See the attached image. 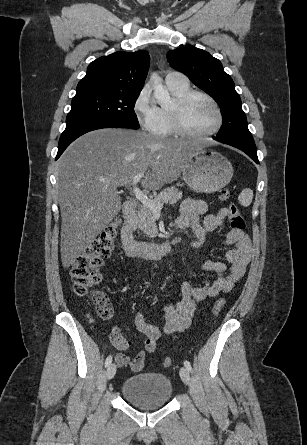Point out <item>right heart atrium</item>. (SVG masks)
I'll return each mask as SVG.
<instances>
[{
  "label": "right heart atrium",
  "instance_id": "right-heart-atrium-1",
  "mask_svg": "<svg viewBox=\"0 0 307 445\" xmlns=\"http://www.w3.org/2000/svg\"><path fill=\"white\" fill-rule=\"evenodd\" d=\"M132 112L144 131L157 132L160 125V113L155 98L148 87L142 88L135 98Z\"/></svg>",
  "mask_w": 307,
  "mask_h": 445
}]
</instances>
